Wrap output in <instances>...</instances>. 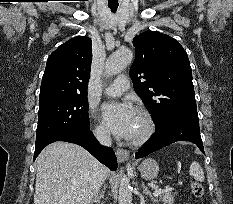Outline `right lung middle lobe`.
Returning a JSON list of instances; mask_svg holds the SVG:
<instances>
[{
  "mask_svg": "<svg viewBox=\"0 0 233 204\" xmlns=\"http://www.w3.org/2000/svg\"><path fill=\"white\" fill-rule=\"evenodd\" d=\"M89 129L87 96L39 101L36 144L62 133Z\"/></svg>",
  "mask_w": 233,
  "mask_h": 204,
  "instance_id": "right-lung-middle-lobe-1",
  "label": "right lung middle lobe"
}]
</instances>
